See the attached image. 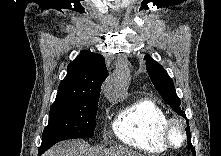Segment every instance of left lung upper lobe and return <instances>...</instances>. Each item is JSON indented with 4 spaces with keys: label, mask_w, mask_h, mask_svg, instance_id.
<instances>
[{
    "label": "left lung upper lobe",
    "mask_w": 221,
    "mask_h": 156,
    "mask_svg": "<svg viewBox=\"0 0 221 156\" xmlns=\"http://www.w3.org/2000/svg\"><path fill=\"white\" fill-rule=\"evenodd\" d=\"M146 69L150 79L164 101L179 115L186 118L181 101L176 94L173 81L165 69L148 55L145 56Z\"/></svg>",
    "instance_id": "left-lung-upper-lobe-1"
}]
</instances>
